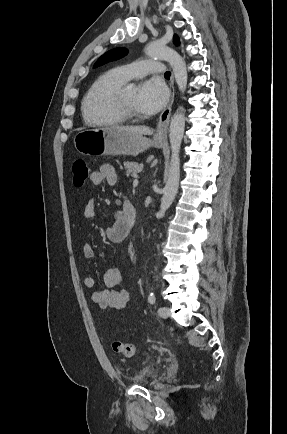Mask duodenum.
Instances as JSON below:
<instances>
[{
	"label": "duodenum",
	"mask_w": 287,
	"mask_h": 434,
	"mask_svg": "<svg viewBox=\"0 0 287 434\" xmlns=\"http://www.w3.org/2000/svg\"><path fill=\"white\" fill-rule=\"evenodd\" d=\"M125 214H126V218H127V223L129 225V227L132 228L136 222L137 211L131 203H127L126 209H125Z\"/></svg>",
	"instance_id": "410a0bca"
}]
</instances>
